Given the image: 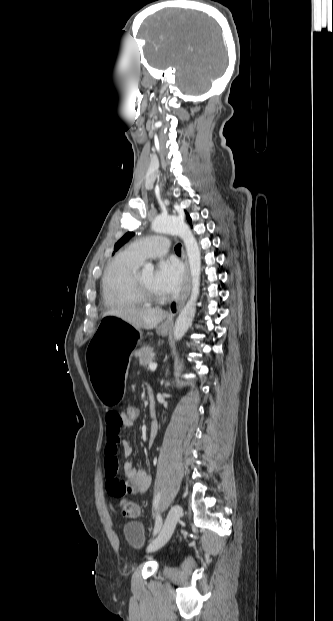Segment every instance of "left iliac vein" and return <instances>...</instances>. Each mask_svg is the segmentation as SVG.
Returning <instances> with one entry per match:
<instances>
[{"label":"left iliac vein","instance_id":"obj_1","mask_svg":"<svg viewBox=\"0 0 333 621\" xmlns=\"http://www.w3.org/2000/svg\"><path fill=\"white\" fill-rule=\"evenodd\" d=\"M181 515L182 507L180 505L176 504L171 507L159 535L148 546L149 552L160 549L168 542Z\"/></svg>","mask_w":333,"mask_h":621}]
</instances>
